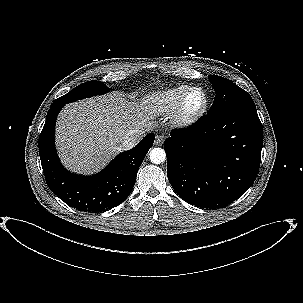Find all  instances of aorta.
I'll return each mask as SVG.
<instances>
[{
  "instance_id": "1",
  "label": "aorta",
  "mask_w": 303,
  "mask_h": 303,
  "mask_svg": "<svg viewBox=\"0 0 303 303\" xmlns=\"http://www.w3.org/2000/svg\"><path fill=\"white\" fill-rule=\"evenodd\" d=\"M149 155L150 161L154 164H161L166 160V153L162 148H153Z\"/></svg>"
}]
</instances>
